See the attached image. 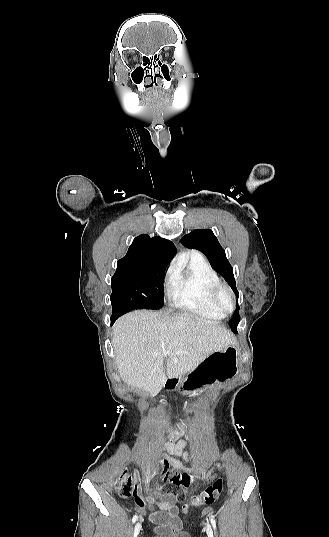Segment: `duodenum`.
Returning a JSON list of instances; mask_svg holds the SVG:
<instances>
[{"label":"duodenum","mask_w":329,"mask_h":537,"mask_svg":"<svg viewBox=\"0 0 329 537\" xmlns=\"http://www.w3.org/2000/svg\"><path fill=\"white\" fill-rule=\"evenodd\" d=\"M178 382L176 379L170 378L167 379L164 383V388L166 390H173L177 386Z\"/></svg>","instance_id":"obj_1"}]
</instances>
